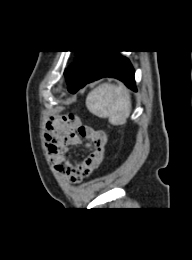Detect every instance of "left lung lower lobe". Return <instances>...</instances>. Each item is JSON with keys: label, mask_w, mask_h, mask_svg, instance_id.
<instances>
[{"label": "left lung lower lobe", "mask_w": 192, "mask_h": 260, "mask_svg": "<svg viewBox=\"0 0 192 260\" xmlns=\"http://www.w3.org/2000/svg\"><path fill=\"white\" fill-rule=\"evenodd\" d=\"M119 51H99L90 62L75 92L84 87L87 83L103 77H114L125 85L136 91L134 70L129 60L120 54Z\"/></svg>", "instance_id": "left-lung-lower-lobe-1"}]
</instances>
